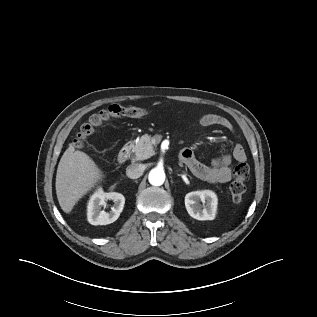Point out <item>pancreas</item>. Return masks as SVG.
<instances>
[{
  "label": "pancreas",
  "instance_id": "1",
  "mask_svg": "<svg viewBox=\"0 0 317 317\" xmlns=\"http://www.w3.org/2000/svg\"><path fill=\"white\" fill-rule=\"evenodd\" d=\"M133 160H144L154 154L152 138L145 134L132 145Z\"/></svg>",
  "mask_w": 317,
  "mask_h": 317
}]
</instances>
